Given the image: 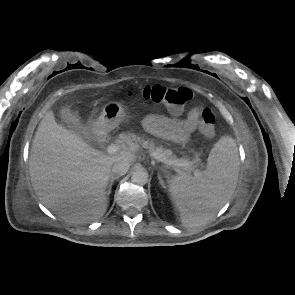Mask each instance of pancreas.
Segmentation results:
<instances>
[{
  "instance_id": "pancreas-1",
  "label": "pancreas",
  "mask_w": 295,
  "mask_h": 295,
  "mask_svg": "<svg viewBox=\"0 0 295 295\" xmlns=\"http://www.w3.org/2000/svg\"><path fill=\"white\" fill-rule=\"evenodd\" d=\"M126 141L128 143H131V142L135 141L136 143L141 144L143 148H148L150 151L156 152V153H158V154H160L163 157H166L168 159L177 160V158L174 155H172L171 150L165 149V148H163L161 146L160 147H155L153 142L141 139L140 137L136 136L135 134H129ZM180 160L188 161L191 164L189 167H182V169L185 170V171L191 172L196 167L194 162L190 161L189 159L181 158Z\"/></svg>"
}]
</instances>
